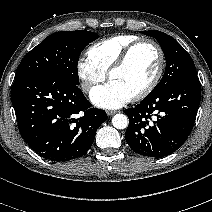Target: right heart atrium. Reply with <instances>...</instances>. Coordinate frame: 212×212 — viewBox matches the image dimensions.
<instances>
[{"mask_svg":"<svg viewBox=\"0 0 212 212\" xmlns=\"http://www.w3.org/2000/svg\"><path fill=\"white\" fill-rule=\"evenodd\" d=\"M76 73L80 80L81 88L89 93L96 85L106 79V73L95 66L89 58L81 57L76 63Z\"/></svg>","mask_w":212,"mask_h":212,"instance_id":"1","label":"right heart atrium"}]
</instances>
